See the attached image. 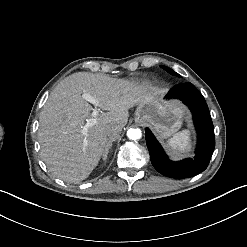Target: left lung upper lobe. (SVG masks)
Wrapping results in <instances>:
<instances>
[{
	"label": "left lung upper lobe",
	"instance_id": "5c2ea615",
	"mask_svg": "<svg viewBox=\"0 0 247 247\" xmlns=\"http://www.w3.org/2000/svg\"><path fill=\"white\" fill-rule=\"evenodd\" d=\"M161 67H162L163 69H165L167 72H169L170 74L180 77L179 74H177L175 71H173V70L170 69L169 67H166V66H163V65H161Z\"/></svg>",
	"mask_w": 247,
	"mask_h": 247
}]
</instances>
